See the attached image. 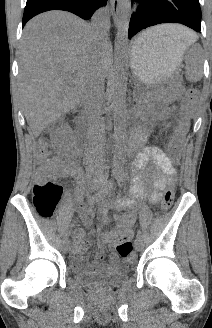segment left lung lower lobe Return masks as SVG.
Instances as JSON below:
<instances>
[{"label":"left lung lower lobe","mask_w":212,"mask_h":328,"mask_svg":"<svg viewBox=\"0 0 212 328\" xmlns=\"http://www.w3.org/2000/svg\"><path fill=\"white\" fill-rule=\"evenodd\" d=\"M139 6L131 17L128 37L161 23H181L201 31L199 0H135Z\"/></svg>","instance_id":"obj_1"}]
</instances>
